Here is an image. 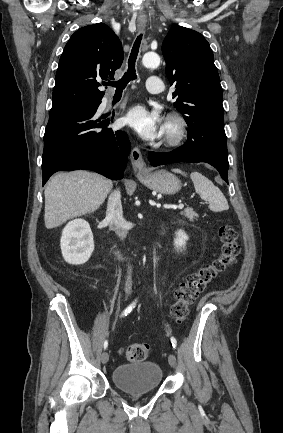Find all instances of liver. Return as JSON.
I'll return each mask as SVG.
<instances>
[{
  "label": "liver",
  "mask_w": 283,
  "mask_h": 433,
  "mask_svg": "<svg viewBox=\"0 0 283 433\" xmlns=\"http://www.w3.org/2000/svg\"><path fill=\"white\" fill-rule=\"evenodd\" d=\"M112 188V180L87 170L58 172L45 188V227L54 229L68 219L94 212Z\"/></svg>",
  "instance_id": "liver-1"
}]
</instances>
